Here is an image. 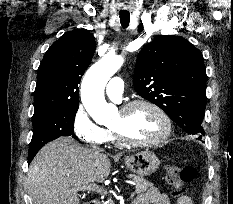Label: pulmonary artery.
I'll return each mask as SVG.
<instances>
[{
    "label": "pulmonary artery",
    "mask_w": 233,
    "mask_h": 204,
    "mask_svg": "<svg viewBox=\"0 0 233 204\" xmlns=\"http://www.w3.org/2000/svg\"><path fill=\"white\" fill-rule=\"evenodd\" d=\"M124 92V82L120 77L110 79L106 86V94L113 100L119 101Z\"/></svg>",
    "instance_id": "e3ab8cb5"
}]
</instances>
